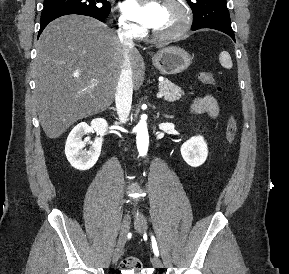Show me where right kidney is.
Wrapping results in <instances>:
<instances>
[{
	"mask_svg": "<svg viewBox=\"0 0 289 274\" xmlns=\"http://www.w3.org/2000/svg\"><path fill=\"white\" fill-rule=\"evenodd\" d=\"M107 128L108 123L105 119L96 118L91 121L90 125L81 122L72 129L65 145V155L72 167L84 171L96 164ZM91 131H95L100 137L91 142L89 150H84L87 141H83L82 138Z\"/></svg>",
	"mask_w": 289,
	"mask_h": 274,
	"instance_id": "right-kidney-1",
	"label": "right kidney"
}]
</instances>
